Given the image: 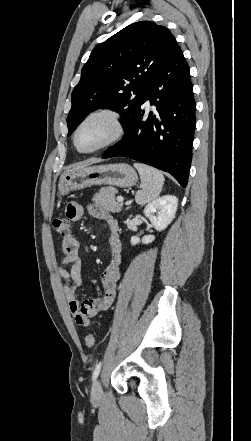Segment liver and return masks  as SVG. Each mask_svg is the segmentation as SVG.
<instances>
[{
    "label": "liver",
    "instance_id": "1",
    "mask_svg": "<svg viewBox=\"0 0 251 441\" xmlns=\"http://www.w3.org/2000/svg\"><path fill=\"white\" fill-rule=\"evenodd\" d=\"M96 162H98V160H92V161H90L89 163H88V162H87V163H83V164L77 166V167L74 168V169H79V168H82V167L88 166L89 164L96 163Z\"/></svg>",
    "mask_w": 251,
    "mask_h": 441
}]
</instances>
